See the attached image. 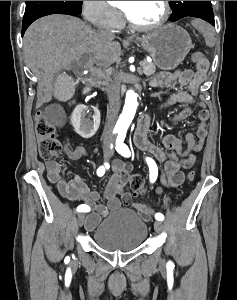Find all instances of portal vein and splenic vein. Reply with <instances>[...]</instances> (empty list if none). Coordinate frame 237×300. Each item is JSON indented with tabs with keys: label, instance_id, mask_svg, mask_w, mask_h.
<instances>
[{
	"label": "portal vein and splenic vein",
	"instance_id": "18ae733b",
	"mask_svg": "<svg viewBox=\"0 0 237 300\" xmlns=\"http://www.w3.org/2000/svg\"><path fill=\"white\" fill-rule=\"evenodd\" d=\"M140 67H145V61L143 60V61H141V63H140Z\"/></svg>",
	"mask_w": 237,
	"mask_h": 300
}]
</instances>
